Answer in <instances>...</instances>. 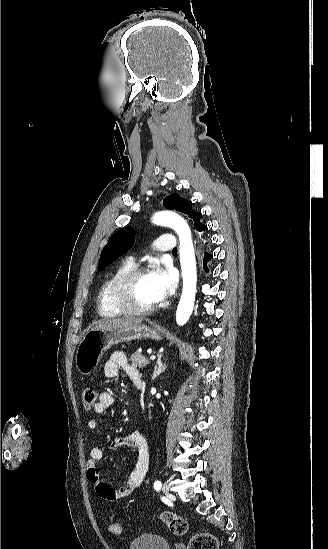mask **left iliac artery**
Segmentation results:
<instances>
[{
    "instance_id": "44dca946",
    "label": "left iliac artery",
    "mask_w": 328,
    "mask_h": 549,
    "mask_svg": "<svg viewBox=\"0 0 328 549\" xmlns=\"http://www.w3.org/2000/svg\"><path fill=\"white\" fill-rule=\"evenodd\" d=\"M161 486H162V484H161L160 481H155V483H154L155 490L159 491L161 489Z\"/></svg>"
}]
</instances>
